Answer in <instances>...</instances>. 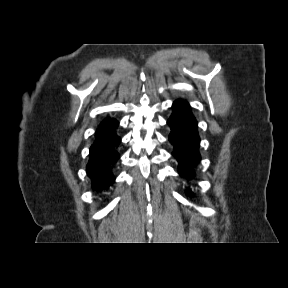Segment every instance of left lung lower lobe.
Instances as JSON below:
<instances>
[{"label":"left lung lower lobe","mask_w":288,"mask_h":288,"mask_svg":"<svg viewBox=\"0 0 288 288\" xmlns=\"http://www.w3.org/2000/svg\"><path fill=\"white\" fill-rule=\"evenodd\" d=\"M172 107L173 113L167 121L171 128L168 139L174 146L172 155L178 161L179 174L191 179L194 176V168L201 159L198 150L200 138L197 121L188 102L179 99ZM188 194L191 192L188 191Z\"/></svg>","instance_id":"obj_1"}]
</instances>
